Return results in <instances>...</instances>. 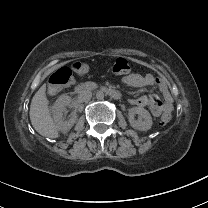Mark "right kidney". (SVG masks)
<instances>
[{"instance_id":"ca27d5eb","label":"right kidney","mask_w":208,"mask_h":208,"mask_svg":"<svg viewBox=\"0 0 208 208\" xmlns=\"http://www.w3.org/2000/svg\"><path fill=\"white\" fill-rule=\"evenodd\" d=\"M71 102L72 99L70 96L61 95L52 107L55 125L57 126V129L63 133L68 132L77 121V114L75 112H72V116L69 120H63L65 108L69 106Z\"/></svg>"}]
</instances>
